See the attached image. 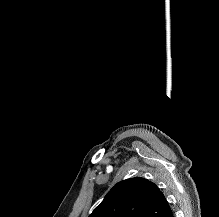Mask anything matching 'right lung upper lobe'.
Returning <instances> with one entry per match:
<instances>
[{
	"instance_id": "1",
	"label": "right lung upper lobe",
	"mask_w": 219,
	"mask_h": 217,
	"mask_svg": "<svg viewBox=\"0 0 219 217\" xmlns=\"http://www.w3.org/2000/svg\"><path fill=\"white\" fill-rule=\"evenodd\" d=\"M171 214L156 184L135 177L117 183L89 217H170Z\"/></svg>"
}]
</instances>
